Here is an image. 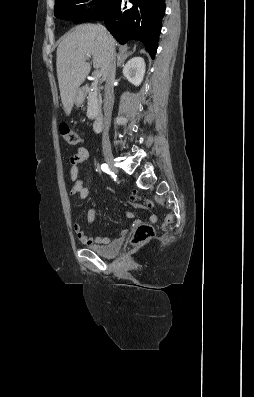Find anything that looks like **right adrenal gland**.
Instances as JSON below:
<instances>
[{
  "instance_id": "1",
  "label": "right adrenal gland",
  "mask_w": 254,
  "mask_h": 397,
  "mask_svg": "<svg viewBox=\"0 0 254 397\" xmlns=\"http://www.w3.org/2000/svg\"><path fill=\"white\" fill-rule=\"evenodd\" d=\"M128 55H129V54H127V55L125 56V58H126ZM125 58L121 59L119 55L117 56V66H118V67H121V66H122V63L124 62Z\"/></svg>"
}]
</instances>
